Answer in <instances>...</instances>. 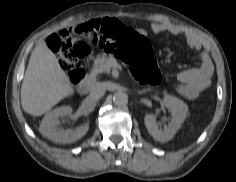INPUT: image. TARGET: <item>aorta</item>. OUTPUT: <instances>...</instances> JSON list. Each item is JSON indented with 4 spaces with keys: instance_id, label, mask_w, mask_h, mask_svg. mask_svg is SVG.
<instances>
[{
    "instance_id": "762f6f07",
    "label": "aorta",
    "mask_w": 236,
    "mask_h": 182,
    "mask_svg": "<svg viewBox=\"0 0 236 182\" xmlns=\"http://www.w3.org/2000/svg\"><path fill=\"white\" fill-rule=\"evenodd\" d=\"M113 102L117 106H124L128 103V95L123 91H117L113 95Z\"/></svg>"
}]
</instances>
